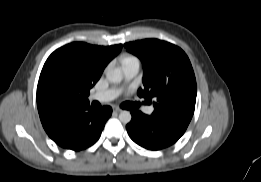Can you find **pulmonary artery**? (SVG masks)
<instances>
[{
  "label": "pulmonary artery",
  "instance_id": "pulmonary-artery-1",
  "mask_svg": "<svg viewBox=\"0 0 261 182\" xmlns=\"http://www.w3.org/2000/svg\"><path fill=\"white\" fill-rule=\"evenodd\" d=\"M139 68H140V64L138 61L130 62V63L123 65L125 81L129 82L130 80H132L138 74ZM120 92H121V89L112 88V89H109V90H106L103 92L94 93V94L90 95L89 99L91 101H98L101 103H106V102L112 101L115 98H117L119 96ZM143 111L146 114L151 115L154 111V108L151 106H146L143 108Z\"/></svg>",
  "mask_w": 261,
  "mask_h": 182
}]
</instances>
